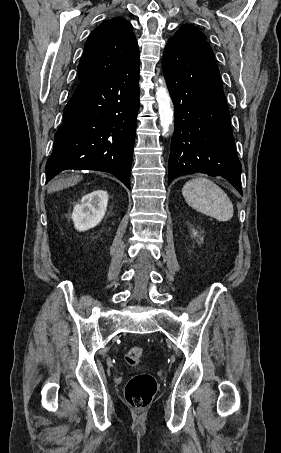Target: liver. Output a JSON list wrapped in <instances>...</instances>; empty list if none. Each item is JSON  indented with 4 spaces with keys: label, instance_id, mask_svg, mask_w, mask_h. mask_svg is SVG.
<instances>
[{
    "label": "liver",
    "instance_id": "6515ba94",
    "mask_svg": "<svg viewBox=\"0 0 281 453\" xmlns=\"http://www.w3.org/2000/svg\"><path fill=\"white\" fill-rule=\"evenodd\" d=\"M83 176L76 174V176H69V178H57L50 182L48 186V192H55V190H62V188H68V186H74Z\"/></svg>",
    "mask_w": 281,
    "mask_h": 453
}]
</instances>
